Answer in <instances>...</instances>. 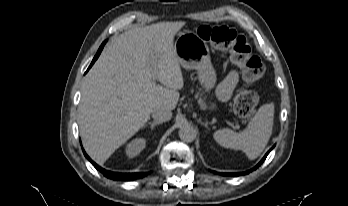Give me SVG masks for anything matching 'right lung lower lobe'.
Masks as SVG:
<instances>
[{"label":"right lung lower lobe","instance_id":"right-lung-lower-lobe-1","mask_svg":"<svg viewBox=\"0 0 348 206\" xmlns=\"http://www.w3.org/2000/svg\"><path fill=\"white\" fill-rule=\"evenodd\" d=\"M106 41L102 43V45L100 46L96 56L93 58L88 70L91 68V66L94 64V62L96 61V59L99 57L104 45H105ZM88 70L86 72H88ZM83 153L86 156V158L91 162V164L100 172H102L104 174V176L113 179V180H121V181H130L133 179H137V178H141L147 175V173H118V172H111L108 170H105L103 168H101L100 166H98L95 162H93L89 156L85 153L84 149H83Z\"/></svg>","mask_w":348,"mask_h":206}]
</instances>
